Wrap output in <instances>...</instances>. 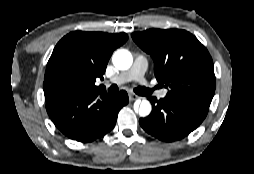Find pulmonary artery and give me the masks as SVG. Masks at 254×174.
<instances>
[{
    "label": "pulmonary artery",
    "mask_w": 254,
    "mask_h": 174,
    "mask_svg": "<svg viewBox=\"0 0 254 174\" xmlns=\"http://www.w3.org/2000/svg\"><path fill=\"white\" fill-rule=\"evenodd\" d=\"M147 59L143 55H138L132 67L128 70L121 72L120 74L116 75L114 78L111 79L112 82L116 84H123L129 81H137L140 84H146L145 79V71L147 69ZM167 94V90L163 89L157 93L159 98H164Z\"/></svg>",
    "instance_id": "obj_1"
}]
</instances>
